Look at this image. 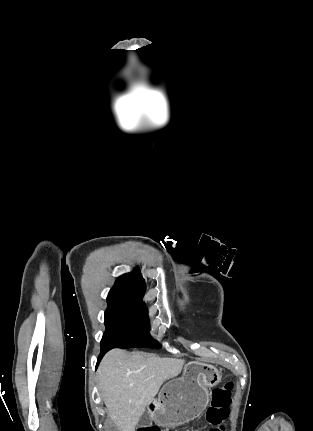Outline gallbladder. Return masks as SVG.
<instances>
[{"label":"gallbladder","mask_w":313,"mask_h":431,"mask_svg":"<svg viewBox=\"0 0 313 431\" xmlns=\"http://www.w3.org/2000/svg\"><path fill=\"white\" fill-rule=\"evenodd\" d=\"M141 422L144 425H149L151 423V417L149 415V413L145 412L142 417H141Z\"/></svg>","instance_id":"bac80fb5"}]
</instances>
